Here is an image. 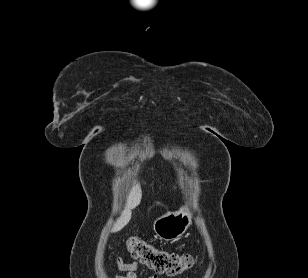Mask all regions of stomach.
<instances>
[{
  "instance_id": "obj_1",
  "label": "stomach",
  "mask_w": 308,
  "mask_h": 278,
  "mask_svg": "<svg viewBox=\"0 0 308 278\" xmlns=\"http://www.w3.org/2000/svg\"><path fill=\"white\" fill-rule=\"evenodd\" d=\"M192 223V213L187 207L179 211L168 212L158 217L153 224V229L160 239L173 241L180 238Z\"/></svg>"
}]
</instances>
